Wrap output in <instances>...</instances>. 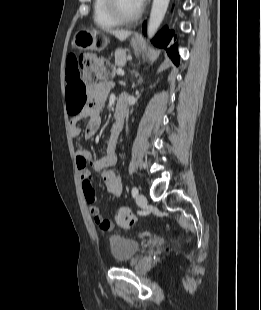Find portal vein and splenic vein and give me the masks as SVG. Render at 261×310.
<instances>
[{
    "label": "portal vein and splenic vein",
    "instance_id": "obj_1",
    "mask_svg": "<svg viewBox=\"0 0 261 310\" xmlns=\"http://www.w3.org/2000/svg\"><path fill=\"white\" fill-rule=\"evenodd\" d=\"M116 73H117L118 75H121V76L124 75V71H123L122 69H120V68H118V69L116 70Z\"/></svg>",
    "mask_w": 261,
    "mask_h": 310
}]
</instances>
